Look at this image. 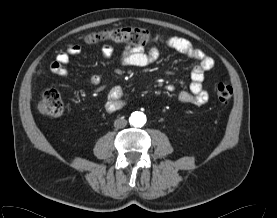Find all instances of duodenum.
<instances>
[{
	"instance_id": "1",
	"label": "duodenum",
	"mask_w": 277,
	"mask_h": 218,
	"mask_svg": "<svg viewBox=\"0 0 277 218\" xmlns=\"http://www.w3.org/2000/svg\"><path fill=\"white\" fill-rule=\"evenodd\" d=\"M113 106H114V109H118L120 104L116 102V103H113Z\"/></svg>"
}]
</instances>
